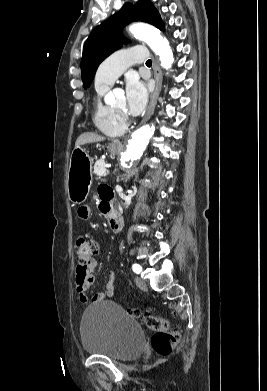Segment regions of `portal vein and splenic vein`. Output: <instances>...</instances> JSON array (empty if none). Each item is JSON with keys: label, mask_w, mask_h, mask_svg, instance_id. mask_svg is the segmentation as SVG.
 I'll return each instance as SVG.
<instances>
[{"label": "portal vein and splenic vein", "mask_w": 267, "mask_h": 391, "mask_svg": "<svg viewBox=\"0 0 267 391\" xmlns=\"http://www.w3.org/2000/svg\"><path fill=\"white\" fill-rule=\"evenodd\" d=\"M105 167H106V168H110L111 165H110V164H106Z\"/></svg>", "instance_id": "obj_1"}]
</instances>
